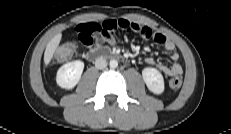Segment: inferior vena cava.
Returning a JSON list of instances; mask_svg holds the SVG:
<instances>
[{"mask_svg":"<svg viewBox=\"0 0 231 134\" xmlns=\"http://www.w3.org/2000/svg\"><path fill=\"white\" fill-rule=\"evenodd\" d=\"M95 67L97 69H105L107 67V62L104 58L100 57V58H97L96 61H95Z\"/></svg>","mask_w":231,"mask_h":134,"instance_id":"1","label":"inferior vena cava"}]
</instances>
